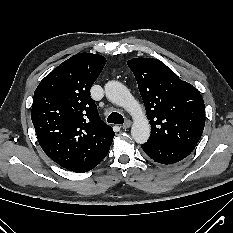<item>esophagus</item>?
Listing matches in <instances>:
<instances>
[{"instance_id":"1","label":"esophagus","mask_w":233,"mask_h":233,"mask_svg":"<svg viewBox=\"0 0 233 233\" xmlns=\"http://www.w3.org/2000/svg\"><path fill=\"white\" fill-rule=\"evenodd\" d=\"M132 122L130 120H126L125 123L122 125L123 129H128L131 126Z\"/></svg>"}]
</instances>
